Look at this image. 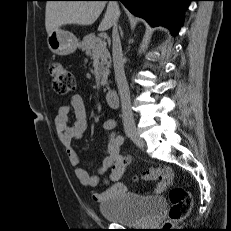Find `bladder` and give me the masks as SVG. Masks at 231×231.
<instances>
[{"label": "bladder", "instance_id": "bladder-1", "mask_svg": "<svg viewBox=\"0 0 231 231\" xmlns=\"http://www.w3.org/2000/svg\"><path fill=\"white\" fill-rule=\"evenodd\" d=\"M164 198H143L138 195L125 194L102 202L99 211L110 222L141 226L155 220L165 209Z\"/></svg>", "mask_w": 231, "mask_h": 231}]
</instances>
